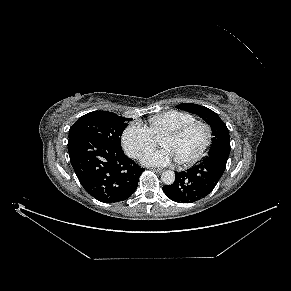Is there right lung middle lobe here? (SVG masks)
Returning <instances> with one entry per match:
<instances>
[{"mask_svg":"<svg viewBox=\"0 0 291 291\" xmlns=\"http://www.w3.org/2000/svg\"><path fill=\"white\" fill-rule=\"evenodd\" d=\"M130 120L131 118H124L108 111L90 112L81 116L70 127L69 138L75 134L84 133L122 150L120 136Z\"/></svg>","mask_w":291,"mask_h":291,"instance_id":"right-lung-middle-lobe-1","label":"right lung middle lobe"}]
</instances>
